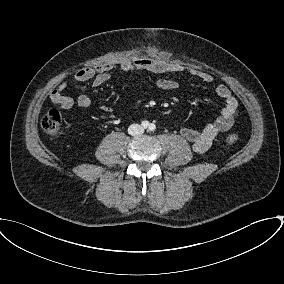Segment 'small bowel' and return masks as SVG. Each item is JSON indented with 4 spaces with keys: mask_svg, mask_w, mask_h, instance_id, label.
<instances>
[{
    "mask_svg": "<svg viewBox=\"0 0 284 284\" xmlns=\"http://www.w3.org/2000/svg\"><path fill=\"white\" fill-rule=\"evenodd\" d=\"M116 68L126 73L149 72L152 74L177 73L182 70L180 65L164 60L136 58L124 61L117 66L102 64L96 67L81 68L74 73L73 79L75 82L91 81L94 87H99L111 78ZM193 75L204 83H211L213 81L212 75L206 72L197 71L193 72ZM143 82L146 81L144 80ZM153 84L159 89L166 91H173L178 87L175 81L166 78L157 79ZM67 86L68 81H62L50 93L51 101L63 111L72 109L75 103L73 98L64 94ZM215 92L225 103L220 111V115L201 129L191 127L180 128L181 136L191 143L192 149L196 153L207 151L220 133L228 131L233 126L235 118L238 115V101L229 88L223 84H219L215 87ZM91 102V98L86 94L79 95L76 100L77 105L81 108L90 107Z\"/></svg>",
    "mask_w": 284,
    "mask_h": 284,
    "instance_id": "obj_1",
    "label": "small bowel"
}]
</instances>
